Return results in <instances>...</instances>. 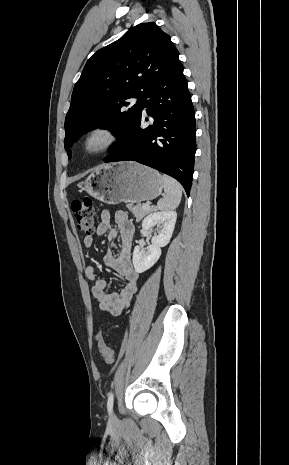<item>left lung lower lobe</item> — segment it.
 <instances>
[{"instance_id":"left-lung-lower-lobe-1","label":"left lung lower lobe","mask_w":289,"mask_h":465,"mask_svg":"<svg viewBox=\"0 0 289 465\" xmlns=\"http://www.w3.org/2000/svg\"><path fill=\"white\" fill-rule=\"evenodd\" d=\"M143 108L154 119L146 128L142 126ZM195 133V112L180 66L143 95L140 115L121 145L104 161L131 160L152 167L177 179L189 196Z\"/></svg>"}]
</instances>
